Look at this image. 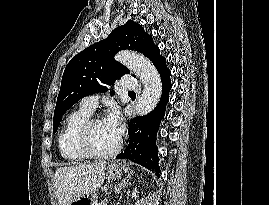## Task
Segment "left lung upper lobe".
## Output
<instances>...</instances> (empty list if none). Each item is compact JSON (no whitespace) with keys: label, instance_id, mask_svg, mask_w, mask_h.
Wrapping results in <instances>:
<instances>
[{"label":"left lung upper lobe","instance_id":"1","mask_svg":"<svg viewBox=\"0 0 269 205\" xmlns=\"http://www.w3.org/2000/svg\"><path fill=\"white\" fill-rule=\"evenodd\" d=\"M122 49L143 53L154 65L162 57L152 37L132 20L114 29L105 40L84 49L70 60L63 73L54 111L53 133L65 112L78 100L93 93L106 92L107 85L129 73L125 66L113 59L114 54Z\"/></svg>","mask_w":269,"mask_h":205}]
</instances>
